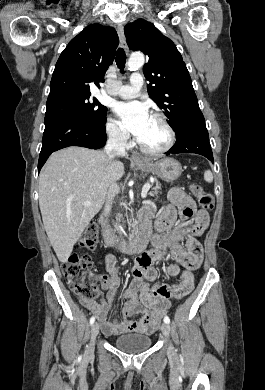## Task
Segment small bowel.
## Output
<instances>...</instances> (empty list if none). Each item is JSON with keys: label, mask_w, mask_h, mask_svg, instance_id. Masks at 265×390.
Wrapping results in <instances>:
<instances>
[{"label": "small bowel", "mask_w": 265, "mask_h": 390, "mask_svg": "<svg viewBox=\"0 0 265 390\" xmlns=\"http://www.w3.org/2000/svg\"><path fill=\"white\" fill-rule=\"evenodd\" d=\"M169 201L156 220V233L151 237L153 248L136 259L129 287L118 292L120 277L117 260L114 255L107 254L104 257L106 273L100 275L101 287L108 292L107 299L83 301V305L96 315L107 335L152 333L167 313L171 300L186 296L193 288V271L199 268L203 260L197 237L207 228L209 215L204 209L197 210L194 200L179 188L169 192ZM154 214L155 209L149 206L141 211L140 216L149 220ZM178 215L180 222L176 223ZM168 256L173 259L167 266L168 274L177 276L181 273V282L177 285L163 284L157 280L158 274L153 264ZM174 288L175 296H169L168 293ZM117 299L128 301L120 317L109 319L108 313H113L112 306ZM135 314L142 317L132 320Z\"/></svg>", "instance_id": "c3829d8e"}]
</instances>
